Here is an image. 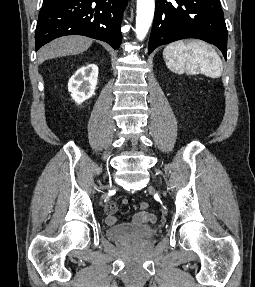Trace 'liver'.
<instances>
[{
	"mask_svg": "<svg viewBox=\"0 0 255 287\" xmlns=\"http://www.w3.org/2000/svg\"><path fill=\"white\" fill-rule=\"evenodd\" d=\"M93 40L84 38V36H64L53 40L38 52V64H42L44 60L51 58H60V56H74V54H82L90 48Z\"/></svg>",
	"mask_w": 255,
	"mask_h": 287,
	"instance_id": "liver-1",
	"label": "liver"
}]
</instances>
